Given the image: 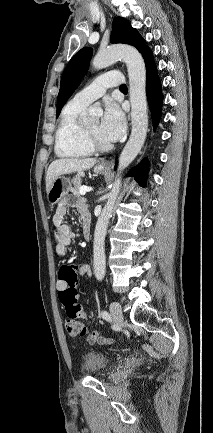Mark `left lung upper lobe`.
<instances>
[{
  "label": "left lung upper lobe",
  "mask_w": 213,
  "mask_h": 433,
  "mask_svg": "<svg viewBox=\"0 0 213 433\" xmlns=\"http://www.w3.org/2000/svg\"><path fill=\"white\" fill-rule=\"evenodd\" d=\"M111 42L132 45L138 49L142 56L150 50L138 31L132 28L130 23L122 17H117L113 20ZM92 53L93 51L91 48H82L71 58L65 68L61 78L60 91L57 97L56 117L59 116L63 105L73 94L83 75L88 70Z\"/></svg>",
  "instance_id": "5c2ea615"
}]
</instances>
